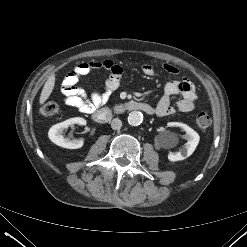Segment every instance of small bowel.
<instances>
[{"instance_id": "1", "label": "small bowel", "mask_w": 247, "mask_h": 247, "mask_svg": "<svg viewBox=\"0 0 247 247\" xmlns=\"http://www.w3.org/2000/svg\"><path fill=\"white\" fill-rule=\"evenodd\" d=\"M164 70L177 75L179 70L171 64H164ZM104 69L109 72L103 90L93 91L88 94L83 88L78 86V82L88 76L92 71ZM144 75L153 77L156 75L153 65L145 63L142 65ZM123 69L111 60L89 61L78 64L63 80L61 93L64 103L76 108L83 113H91L107 102L112 93L116 91L122 80ZM180 95L181 99L175 104H171L172 95ZM197 93L195 86L186 78L167 82L163 87V95L155 106L156 115L165 117L176 112H190L195 108Z\"/></svg>"}]
</instances>
